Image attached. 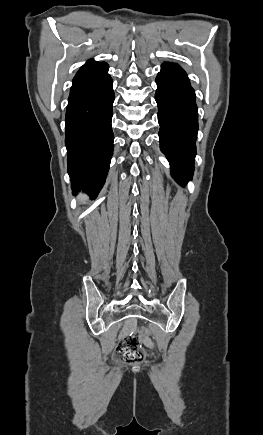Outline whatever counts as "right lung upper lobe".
<instances>
[{"mask_svg":"<svg viewBox=\"0 0 263 435\" xmlns=\"http://www.w3.org/2000/svg\"><path fill=\"white\" fill-rule=\"evenodd\" d=\"M98 62L94 61V60H90L88 62H86L82 67L88 66V65H92V64H97Z\"/></svg>","mask_w":263,"mask_h":435,"instance_id":"1","label":"right lung upper lobe"}]
</instances>
